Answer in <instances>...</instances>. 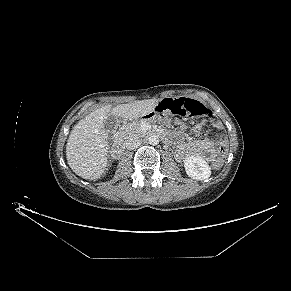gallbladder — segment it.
Instances as JSON below:
<instances>
[{"instance_id": "obj_1", "label": "gallbladder", "mask_w": 291, "mask_h": 291, "mask_svg": "<svg viewBox=\"0 0 291 291\" xmlns=\"http://www.w3.org/2000/svg\"><path fill=\"white\" fill-rule=\"evenodd\" d=\"M119 119L114 114H108L104 120V130L108 133L109 138H112L118 128Z\"/></svg>"}]
</instances>
